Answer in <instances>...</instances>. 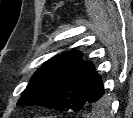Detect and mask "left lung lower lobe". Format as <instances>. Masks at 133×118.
<instances>
[{
  "mask_svg": "<svg viewBox=\"0 0 133 118\" xmlns=\"http://www.w3.org/2000/svg\"><path fill=\"white\" fill-rule=\"evenodd\" d=\"M103 94V82L102 80H100L95 89L93 90L91 96L89 97L86 107H93L94 105L101 103Z\"/></svg>",
  "mask_w": 133,
  "mask_h": 118,
  "instance_id": "left-lung-lower-lobe-1",
  "label": "left lung lower lobe"
}]
</instances>
